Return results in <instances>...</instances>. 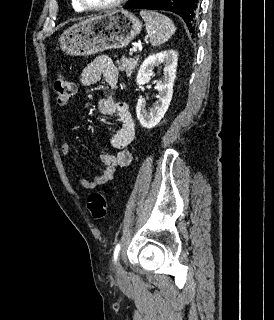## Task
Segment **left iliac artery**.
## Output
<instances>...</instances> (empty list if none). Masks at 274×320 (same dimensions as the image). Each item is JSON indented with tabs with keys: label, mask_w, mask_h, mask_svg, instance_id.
<instances>
[{
	"label": "left iliac artery",
	"mask_w": 274,
	"mask_h": 320,
	"mask_svg": "<svg viewBox=\"0 0 274 320\" xmlns=\"http://www.w3.org/2000/svg\"><path fill=\"white\" fill-rule=\"evenodd\" d=\"M119 251H120V243H118L115 247V250H114V261L116 262L117 261V258H118V255H119Z\"/></svg>",
	"instance_id": "44dca946"
}]
</instances>
